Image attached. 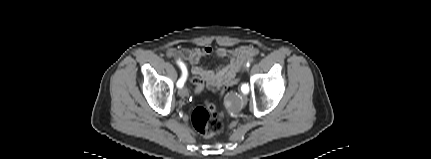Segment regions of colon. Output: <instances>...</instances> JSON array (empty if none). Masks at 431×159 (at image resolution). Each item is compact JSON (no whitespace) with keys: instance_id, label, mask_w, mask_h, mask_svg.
<instances>
[{"instance_id":"colon-1","label":"colon","mask_w":431,"mask_h":159,"mask_svg":"<svg viewBox=\"0 0 431 159\" xmlns=\"http://www.w3.org/2000/svg\"><path fill=\"white\" fill-rule=\"evenodd\" d=\"M240 81L241 75H237V78L222 87V93H224L228 87H231ZM189 83L192 86H196V94H200L204 89V80L201 77H190ZM191 122L194 129L204 137L214 136L223 128V123L219 114L216 112V107H214V104L211 103L210 100H205L204 106H199L194 109L191 116Z\"/></svg>"}]
</instances>
